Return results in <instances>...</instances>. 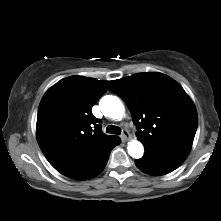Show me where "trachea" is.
I'll list each match as a JSON object with an SVG mask.
<instances>
[{"instance_id":"1","label":"trachea","mask_w":221,"mask_h":221,"mask_svg":"<svg viewBox=\"0 0 221 221\" xmlns=\"http://www.w3.org/2000/svg\"><path fill=\"white\" fill-rule=\"evenodd\" d=\"M106 132L119 135L121 133V129L118 126L108 125L106 128Z\"/></svg>"}]
</instances>
